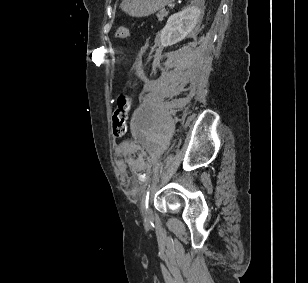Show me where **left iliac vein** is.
Returning a JSON list of instances; mask_svg holds the SVG:
<instances>
[{"mask_svg": "<svg viewBox=\"0 0 308 283\" xmlns=\"http://www.w3.org/2000/svg\"><path fill=\"white\" fill-rule=\"evenodd\" d=\"M141 210H142V213H143L146 220H150L152 218V214H151L149 209H147V211H145L142 207Z\"/></svg>", "mask_w": 308, "mask_h": 283, "instance_id": "obj_1", "label": "left iliac vein"}]
</instances>
